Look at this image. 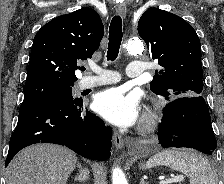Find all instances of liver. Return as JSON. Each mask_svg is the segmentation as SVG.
Returning <instances> with one entry per match:
<instances>
[{
	"mask_svg": "<svg viewBox=\"0 0 224 184\" xmlns=\"http://www.w3.org/2000/svg\"><path fill=\"white\" fill-rule=\"evenodd\" d=\"M76 154L54 144L21 150L6 169V184H66L75 169Z\"/></svg>",
	"mask_w": 224,
	"mask_h": 184,
	"instance_id": "liver-1",
	"label": "liver"
}]
</instances>
